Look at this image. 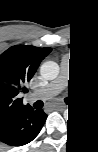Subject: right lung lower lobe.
Segmentation results:
<instances>
[{"label":"right lung lower lobe","instance_id":"98d812e1","mask_svg":"<svg viewBox=\"0 0 98 152\" xmlns=\"http://www.w3.org/2000/svg\"><path fill=\"white\" fill-rule=\"evenodd\" d=\"M47 118L43 110L32 107L21 112L13 121L0 129V138L10 146H21L32 141L40 132Z\"/></svg>","mask_w":98,"mask_h":152}]
</instances>
